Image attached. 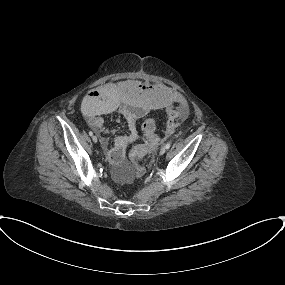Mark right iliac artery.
Listing matches in <instances>:
<instances>
[{
	"label": "right iliac artery",
	"mask_w": 285,
	"mask_h": 285,
	"mask_svg": "<svg viewBox=\"0 0 285 285\" xmlns=\"http://www.w3.org/2000/svg\"><path fill=\"white\" fill-rule=\"evenodd\" d=\"M89 135H90V136H92V135H93V132H92V131H90V132H89Z\"/></svg>",
	"instance_id": "obj_1"
}]
</instances>
